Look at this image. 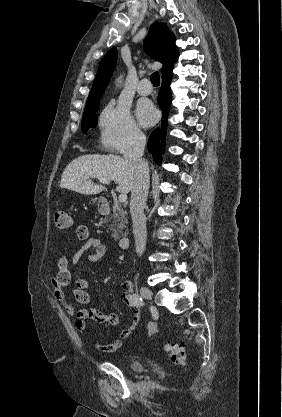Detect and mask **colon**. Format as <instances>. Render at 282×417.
<instances>
[{
  "instance_id": "obj_1",
  "label": "colon",
  "mask_w": 282,
  "mask_h": 417,
  "mask_svg": "<svg viewBox=\"0 0 282 417\" xmlns=\"http://www.w3.org/2000/svg\"><path fill=\"white\" fill-rule=\"evenodd\" d=\"M72 225V218L70 211L66 208H59L55 210L53 215V226L56 229L64 230ZM158 323L150 321L147 326V334L150 339H153L158 333ZM163 351L169 358L170 362L175 365L184 366L186 364V351L183 343H173L166 341L163 346Z\"/></svg>"
}]
</instances>
